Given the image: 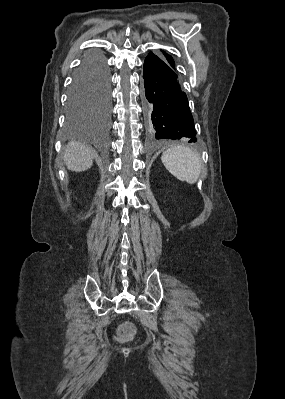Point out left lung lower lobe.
<instances>
[{
  "mask_svg": "<svg viewBox=\"0 0 285 399\" xmlns=\"http://www.w3.org/2000/svg\"><path fill=\"white\" fill-rule=\"evenodd\" d=\"M143 78L144 108L151 139L196 142L193 117L175 65L165 56L150 52L144 62Z\"/></svg>",
  "mask_w": 285,
  "mask_h": 399,
  "instance_id": "1",
  "label": "left lung lower lobe"
}]
</instances>
